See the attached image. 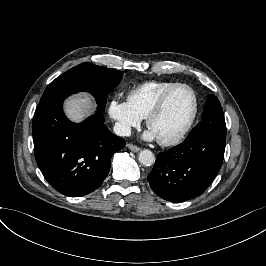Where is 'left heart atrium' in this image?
Listing matches in <instances>:
<instances>
[{"label": "left heart atrium", "instance_id": "left-heart-atrium-1", "mask_svg": "<svg viewBox=\"0 0 266 266\" xmlns=\"http://www.w3.org/2000/svg\"><path fill=\"white\" fill-rule=\"evenodd\" d=\"M144 136L149 140L157 138L156 134L153 132V130L150 127L145 131Z\"/></svg>", "mask_w": 266, "mask_h": 266}]
</instances>
